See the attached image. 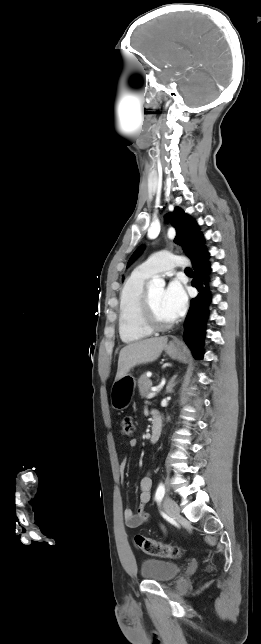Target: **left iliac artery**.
<instances>
[{"label": "left iliac artery", "instance_id": "obj_1", "mask_svg": "<svg viewBox=\"0 0 261 644\" xmlns=\"http://www.w3.org/2000/svg\"><path fill=\"white\" fill-rule=\"evenodd\" d=\"M164 494H165V486L163 483H160L155 493V500L161 501L162 498L164 497Z\"/></svg>", "mask_w": 261, "mask_h": 644}]
</instances>
